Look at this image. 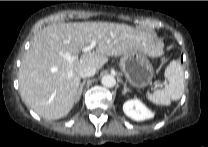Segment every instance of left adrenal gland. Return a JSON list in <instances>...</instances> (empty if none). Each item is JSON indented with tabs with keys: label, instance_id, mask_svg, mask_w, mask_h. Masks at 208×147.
Instances as JSON below:
<instances>
[{
	"label": "left adrenal gland",
	"instance_id": "left-adrenal-gland-1",
	"mask_svg": "<svg viewBox=\"0 0 208 147\" xmlns=\"http://www.w3.org/2000/svg\"><path fill=\"white\" fill-rule=\"evenodd\" d=\"M127 92H131V90L127 87L126 83H123L122 94L125 95Z\"/></svg>",
	"mask_w": 208,
	"mask_h": 147
}]
</instances>
